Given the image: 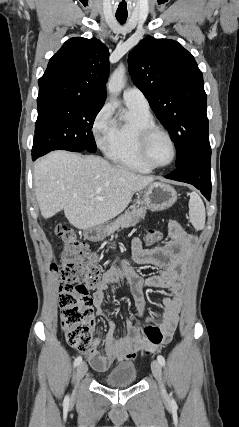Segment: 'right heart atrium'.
Returning a JSON list of instances; mask_svg holds the SVG:
<instances>
[{
	"label": "right heart atrium",
	"mask_w": 239,
	"mask_h": 427,
	"mask_svg": "<svg viewBox=\"0 0 239 427\" xmlns=\"http://www.w3.org/2000/svg\"><path fill=\"white\" fill-rule=\"evenodd\" d=\"M115 120L112 108L105 105L95 116L92 123V133L97 145L104 149L114 130Z\"/></svg>",
	"instance_id": "right-heart-atrium-1"
}]
</instances>
